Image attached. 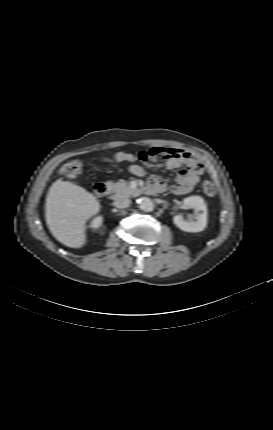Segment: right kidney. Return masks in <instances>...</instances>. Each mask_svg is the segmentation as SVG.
<instances>
[{"instance_id": "ca27d5eb", "label": "right kidney", "mask_w": 273, "mask_h": 430, "mask_svg": "<svg viewBox=\"0 0 273 430\" xmlns=\"http://www.w3.org/2000/svg\"><path fill=\"white\" fill-rule=\"evenodd\" d=\"M102 220H103L102 216H98V217H96V218L93 220V222H92V224H91V227H93L94 229L99 228V227L102 225Z\"/></svg>"}]
</instances>
